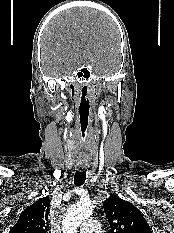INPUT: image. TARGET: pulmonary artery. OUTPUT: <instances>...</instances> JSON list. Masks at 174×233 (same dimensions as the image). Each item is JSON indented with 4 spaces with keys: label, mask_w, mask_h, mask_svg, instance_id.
Returning a JSON list of instances; mask_svg holds the SVG:
<instances>
[{
    "label": "pulmonary artery",
    "mask_w": 174,
    "mask_h": 233,
    "mask_svg": "<svg viewBox=\"0 0 174 233\" xmlns=\"http://www.w3.org/2000/svg\"><path fill=\"white\" fill-rule=\"evenodd\" d=\"M100 225L98 221L89 219L84 221L80 226V233H99Z\"/></svg>",
    "instance_id": "1"
}]
</instances>
